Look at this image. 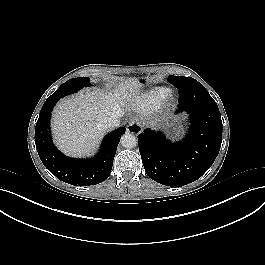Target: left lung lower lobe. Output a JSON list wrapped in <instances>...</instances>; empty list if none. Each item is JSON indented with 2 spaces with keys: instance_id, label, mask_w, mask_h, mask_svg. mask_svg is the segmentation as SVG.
Wrapping results in <instances>:
<instances>
[{
  "instance_id": "left-lung-lower-lobe-1",
  "label": "left lung lower lobe",
  "mask_w": 265,
  "mask_h": 265,
  "mask_svg": "<svg viewBox=\"0 0 265 265\" xmlns=\"http://www.w3.org/2000/svg\"><path fill=\"white\" fill-rule=\"evenodd\" d=\"M179 89L176 113L187 112L193 125L180 142L168 141L160 131L145 129L138 136L147 175L156 182L182 187L200 178L213 164L222 142V120L216 102H208L206 88L197 81Z\"/></svg>"
}]
</instances>
